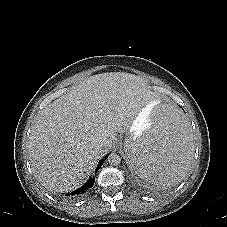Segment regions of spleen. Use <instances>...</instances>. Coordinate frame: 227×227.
Returning a JSON list of instances; mask_svg holds the SVG:
<instances>
[{
    "mask_svg": "<svg viewBox=\"0 0 227 227\" xmlns=\"http://www.w3.org/2000/svg\"><path fill=\"white\" fill-rule=\"evenodd\" d=\"M154 109L142 127L127 133L124 154L135 175L157 185L170 186L186 176L197 141L170 97H158Z\"/></svg>",
    "mask_w": 227,
    "mask_h": 227,
    "instance_id": "3e777b00",
    "label": "spleen"
}]
</instances>
